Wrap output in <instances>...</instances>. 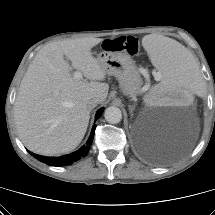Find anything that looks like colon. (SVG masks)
<instances>
[{
  "label": "colon",
  "instance_id": "colon-1",
  "mask_svg": "<svg viewBox=\"0 0 215 215\" xmlns=\"http://www.w3.org/2000/svg\"><path fill=\"white\" fill-rule=\"evenodd\" d=\"M101 47L105 51L124 52L130 56H135L140 51L139 41L135 36L105 38L101 42Z\"/></svg>",
  "mask_w": 215,
  "mask_h": 215
}]
</instances>
